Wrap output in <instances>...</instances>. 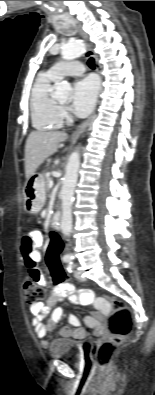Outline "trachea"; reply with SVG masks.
Here are the masks:
<instances>
[{
	"label": "trachea",
	"instance_id": "obj_1",
	"mask_svg": "<svg viewBox=\"0 0 155 395\" xmlns=\"http://www.w3.org/2000/svg\"><path fill=\"white\" fill-rule=\"evenodd\" d=\"M88 66L91 68V69H94L95 68V61H94V59L93 58H89V60H88Z\"/></svg>",
	"mask_w": 155,
	"mask_h": 395
}]
</instances>
